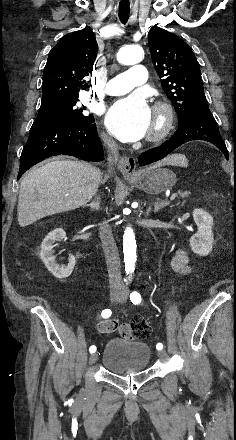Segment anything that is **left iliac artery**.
Listing matches in <instances>:
<instances>
[{"label": "left iliac artery", "instance_id": "obj_1", "mask_svg": "<svg viewBox=\"0 0 236 440\" xmlns=\"http://www.w3.org/2000/svg\"><path fill=\"white\" fill-rule=\"evenodd\" d=\"M130 300H131V302L133 303V304H135V305H137V304H139L140 302H141V295L138 293V292H136V291H134V292H132L131 294H130ZM156 348H157V350H162L163 349V344L162 343H158L157 345H156Z\"/></svg>", "mask_w": 236, "mask_h": 440}]
</instances>
